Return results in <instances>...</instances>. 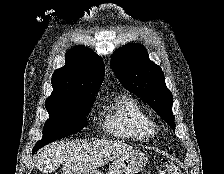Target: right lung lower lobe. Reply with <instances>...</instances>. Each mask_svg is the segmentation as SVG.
<instances>
[{
  "label": "right lung lower lobe",
  "instance_id": "1",
  "mask_svg": "<svg viewBox=\"0 0 224 174\" xmlns=\"http://www.w3.org/2000/svg\"><path fill=\"white\" fill-rule=\"evenodd\" d=\"M38 149H33V153L36 152Z\"/></svg>",
  "mask_w": 224,
  "mask_h": 174
}]
</instances>
